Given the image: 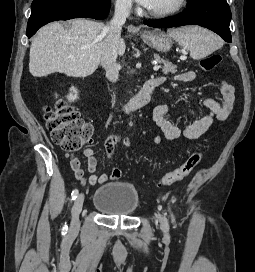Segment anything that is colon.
I'll use <instances>...</instances> for the list:
<instances>
[{"mask_svg": "<svg viewBox=\"0 0 255 272\" xmlns=\"http://www.w3.org/2000/svg\"><path fill=\"white\" fill-rule=\"evenodd\" d=\"M221 59V55L217 53L208 55L202 58L201 68L207 72L212 71L220 64ZM44 120L52 140L66 151H77L92 142L93 127L80 118L74 107L62 100L45 107ZM202 156V149L192 152L179 167L164 174L159 185H170L187 177L199 165ZM111 177L120 178V169L113 168Z\"/></svg>", "mask_w": 255, "mask_h": 272, "instance_id": "obj_1", "label": "colon"}]
</instances>
